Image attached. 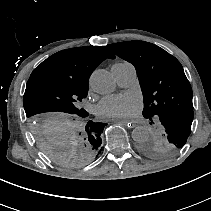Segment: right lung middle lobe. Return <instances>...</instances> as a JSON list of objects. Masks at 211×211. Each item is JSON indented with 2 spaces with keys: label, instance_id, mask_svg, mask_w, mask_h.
<instances>
[{
  "label": "right lung middle lobe",
  "instance_id": "dd1d6c3e",
  "mask_svg": "<svg viewBox=\"0 0 211 211\" xmlns=\"http://www.w3.org/2000/svg\"><path fill=\"white\" fill-rule=\"evenodd\" d=\"M87 93L88 83L68 79L36 77L26 85L24 109L34 138L46 157L65 168L86 166L101 152L107 124L88 121L80 108Z\"/></svg>",
  "mask_w": 211,
  "mask_h": 211
}]
</instances>
